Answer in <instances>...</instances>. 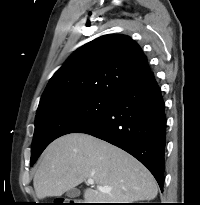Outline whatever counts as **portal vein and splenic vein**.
Here are the masks:
<instances>
[{
    "mask_svg": "<svg viewBox=\"0 0 200 205\" xmlns=\"http://www.w3.org/2000/svg\"><path fill=\"white\" fill-rule=\"evenodd\" d=\"M87 183H88L89 185H93V184H94V180H93V179H88V180H87ZM97 188H98L100 191H103V192H107V191H110V190H111V188H109V187H104V186H97Z\"/></svg>",
    "mask_w": 200,
    "mask_h": 205,
    "instance_id": "18ae733b",
    "label": "portal vein and splenic vein"
}]
</instances>
